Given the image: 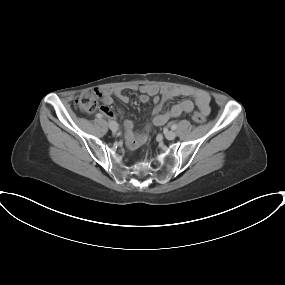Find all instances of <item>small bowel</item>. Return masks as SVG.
<instances>
[{
	"instance_id": "obj_1",
	"label": "small bowel",
	"mask_w": 285,
	"mask_h": 285,
	"mask_svg": "<svg viewBox=\"0 0 285 285\" xmlns=\"http://www.w3.org/2000/svg\"><path fill=\"white\" fill-rule=\"evenodd\" d=\"M130 88L132 90H139V100L142 103H147L150 97H153L154 108L152 121L155 125L158 126L164 125L172 118L179 117L185 113H190L193 110L194 105H196L199 110L205 115H208L211 110L210 97L205 93L199 92L193 95V101L190 99L182 100L172 106L168 111L162 113V104L165 101L178 96L180 94L178 90L171 88L160 89L156 85H141L139 87L132 86ZM101 92L102 101L104 103V106L101 107V112L108 119H113L115 117V114L108 107L114 102L113 96H116L123 103H127L129 101V97L124 93V90L121 87H108L102 89ZM119 113L122 114L123 109L120 108ZM123 126L125 131V139L129 147L137 148L147 140L148 131L150 128L149 125H147L145 131L141 133L133 132L134 122L132 120H125Z\"/></svg>"
}]
</instances>
